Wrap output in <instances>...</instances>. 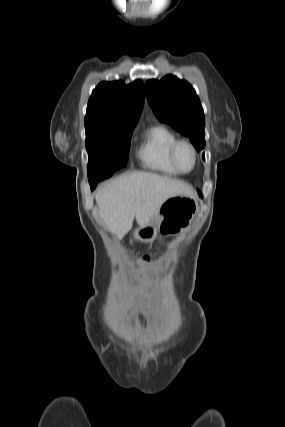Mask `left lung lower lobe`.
Instances as JSON below:
<instances>
[{"instance_id": "1", "label": "left lung lower lobe", "mask_w": 285, "mask_h": 427, "mask_svg": "<svg viewBox=\"0 0 285 427\" xmlns=\"http://www.w3.org/2000/svg\"><path fill=\"white\" fill-rule=\"evenodd\" d=\"M199 195L202 197V194L199 192Z\"/></svg>"}]
</instances>
